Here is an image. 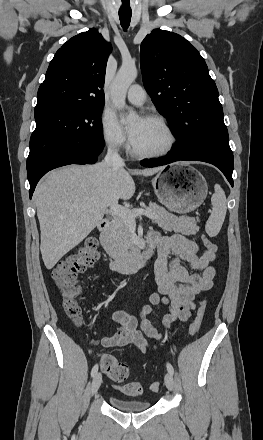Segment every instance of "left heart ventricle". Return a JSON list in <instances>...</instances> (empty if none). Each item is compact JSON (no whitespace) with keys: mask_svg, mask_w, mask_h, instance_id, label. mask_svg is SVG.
Here are the masks:
<instances>
[{"mask_svg":"<svg viewBox=\"0 0 263 440\" xmlns=\"http://www.w3.org/2000/svg\"><path fill=\"white\" fill-rule=\"evenodd\" d=\"M139 124L138 133L133 141L136 149L143 152H152L163 149L168 143L166 131L158 123L145 120H136L132 126Z\"/></svg>","mask_w":263,"mask_h":440,"instance_id":"obj_1","label":"left heart ventricle"}]
</instances>
